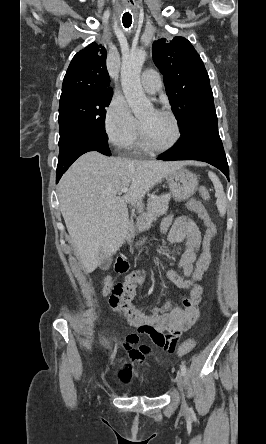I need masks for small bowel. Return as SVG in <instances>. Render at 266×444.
I'll return each mask as SVG.
<instances>
[{
    "instance_id": "small-bowel-1",
    "label": "small bowel",
    "mask_w": 266,
    "mask_h": 444,
    "mask_svg": "<svg viewBox=\"0 0 266 444\" xmlns=\"http://www.w3.org/2000/svg\"><path fill=\"white\" fill-rule=\"evenodd\" d=\"M162 231L168 232V239L171 243H183L184 249L175 268H169L165 275L179 288L186 284V278L190 276L194 264L197 260V253L200 248L201 237L198 227L188 217H167L162 225ZM176 268L180 269L186 278L179 275ZM136 287L142 283L144 274L141 272L132 273L127 277ZM113 285L111 278H106L101 287V294L107 295ZM203 292L200 284L195 285L190 291V297L185 298L182 306H176L164 315L137 317L123 308L114 310L122 317L125 323L134 327L135 331L127 335L124 347L131 360H142L150 353L147 346L138 349L133 347L141 335L150 336L155 344L165 352L172 354L178 349V342L182 332L191 328L199 318V302ZM118 376L123 382L130 378V370L125 366L118 371Z\"/></svg>"
}]
</instances>
